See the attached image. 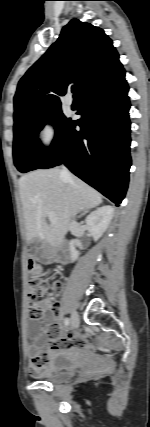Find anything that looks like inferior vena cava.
Here are the masks:
<instances>
[{
    "label": "inferior vena cava",
    "instance_id": "inferior-vena-cava-1",
    "mask_svg": "<svg viewBox=\"0 0 150 427\" xmlns=\"http://www.w3.org/2000/svg\"><path fill=\"white\" fill-rule=\"evenodd\" d=\"M61 176L62 177H67V178H69L70 177V173H69V171L67 170V168L66 167H62V170H61ZM76 215V212H74L73 213V216L72 217H74Z\"/></svg>",
    "mask_w": 150,
    "mask_h": 427
}]
</instances>
